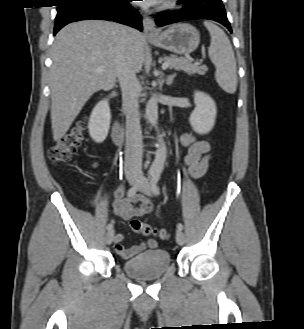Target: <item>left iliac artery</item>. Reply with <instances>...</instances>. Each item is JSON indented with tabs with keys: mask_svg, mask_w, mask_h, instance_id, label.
Returning <instances> with one entry per match:
<instances>
[{
	"mask_svg": "<svg viewBox=\"0 0 304 329\" xmlns=\"http://www.w3.org/2000/svg\"><path fill=\"white\" fill-rule=\"evenodd\" d=\"M159 180H160V173L159 172L153 173L152 176H151L150 185H151L152 192L155 195H159L160 194V189H159V186H158ZM177 228L180 229V230H182L183 229V225L181 223H178L177 224Z\"/></svg>",
	"mask_w": 304,
	"mask_h": 329,
	"instance_id": "1",
	"label": "left iliac artery"
}]
</instances>
